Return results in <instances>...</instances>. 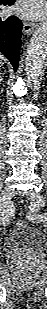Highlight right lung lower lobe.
I'll list each match as a JSON object with an SVG mask.
<instances>
[{
    "mask_svg": "<svg viewBox=\"0 0 47 309\" xmlns=\"http://www.w3.org/2000/svg\"><path fill=\"white\" fill-rule=\"evenodd\" d=\"M14 2L15 0L0 1L3 5H12ZM21 37L22 23L18 17L0 16V52L11 62L15 71L19 64Z\"/></svg>",
    "mask_w": 47,
    "mask_h": 309,
    "instance_id": "98d812e1",
    "label": "right lung lower lobe"
}]
</instances>
